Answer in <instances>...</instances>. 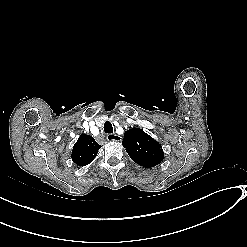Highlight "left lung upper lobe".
<instances>
[{
  "mask_svg": "<svg viewBox=\"0 0 247 247\" xmlns=\"http://www.w3.org/2000/svg\"><path fill=\"white\" fill-rule=\"evenodd\" d=\"M122 145L130 158L145 168L158 165L164 158L161 145L140 128L125 132Z\"/></svg>",
  "mask_w": 247,
  "mask_h": 247,
  "instance_id": "left-lung-upper-lobe-1",
  "label": "left lung upper lobe"
}]
</instances>
